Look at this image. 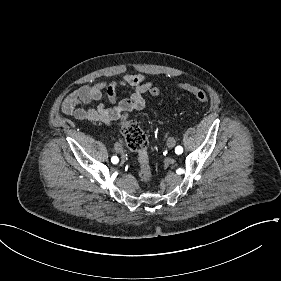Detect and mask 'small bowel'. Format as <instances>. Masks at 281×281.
Wrapping results in <instances>:
<instances>
[{"instance_id": "obj_1", "label": "small bowel", "mask_w": 281, "mask_h": 281, "mask_svg": "<svg viewBox=\"0 0 281 281\" xmlns=\"http://www.w3.org/2000/svg\"><path fill=\"white\" fill-rule=\"evenodd\" d=\"M121 87L130 88L129 97L117 100V90ZM153 83L141 73H126L121 79H108L84 85L71 92L63 101L62 111L77 120L100 122L106 125L124 119L134 110L145 106L144 95L150 93ZM104 93L112 107L99 104L96 107L85 108L83 105L100 101Z\"/></svg>"}]
</instances>
